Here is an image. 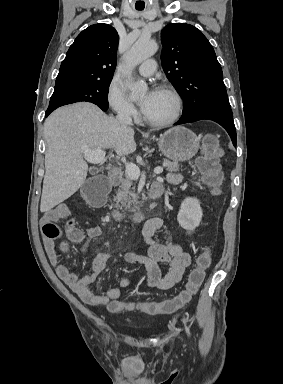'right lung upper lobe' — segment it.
I'll return each instance as SVG.
<instances>
[{
  "label": "right lung upper lobe",
  "instance_id": "1",
  "mask_svg": "<svg viewBox=\"0 0 283 384\" xmlns=\"http://www.w3.org/2000/svg\"><path fill=\"white\" fill-rule=\"evenodd\" d=\"M119 36L107 24L83 30L61 63L56 85L112 79L116 67Z\"/></svg>",
  "mask_w": 283,
  "mask_h": 384
}]
</instances>
